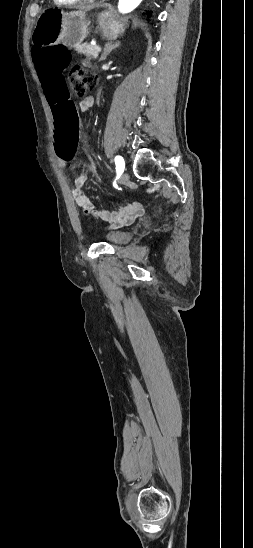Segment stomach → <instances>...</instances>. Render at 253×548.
Listing matches in <instances>:
<instances>
[{"label":"stomach","instance_id":"stomach-1","mask_svg":"<svg viewBox=\"0 0 253 548\" xmlns=\"http://www.w3.org/2000/svg\"><path fill=\"white\" fill-rule=\"evenodd\" d=\"M89 25L90 21L82 11L51 9L39 17L33 39L43 45L63 43L69 48H75L88 36ZM96 30L104 38L116 39L125 27L115 19L111 10H105L97 17Z\"/></svg>","mask_w":253,"mask_h":548}]
</instances>
